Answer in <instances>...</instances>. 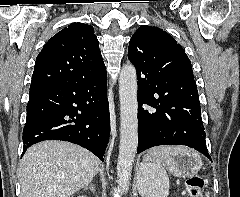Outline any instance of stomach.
I'll list each match as a JSON object with an SVG mask.
<instances>
[{"label": "stomach", "instance_id": "stomach-1", "mask_svg": "<svg viewBox=\"0 0 240 197\" xmlns=\"http://www.w3.org/2000/svg\"><path fill=\"white\" fill-rule=\"evenodd\" d=\"M184 148V147H183ZM187 149V148H184ZM183 153L174 154L170 162L165 163V167L174 175L181 178L194 176L202 168V160L200 156L193 150L187 149ZM153 160L150 154L143 158V164ZM142 164V165H143ZM139 189L142 187L143 182L140 176L138 178Z\"/></svg>", "mask_w": 240, "mask_h": 197}]
</instances>
